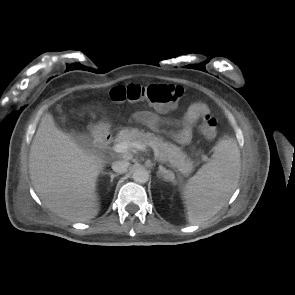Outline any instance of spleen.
I'll return each instance as SVG.
<instances>
[{"label": "spleen", "instance_id": "1", "mask_svg": "<svg viewBox=\"0 0 295 295\" xmlns=\"http://www.w3.org/2000/svg\"><path fill=\"white\" fill-rule=\"evenodd\" d=\"M240 171L238 145L233 138L226 137L215 145L212 158L182 190L190 224L207 221L225 205L237 187Z\"/></svg>", "mask_w": 295, "mask_h": 295}]
</instances>
